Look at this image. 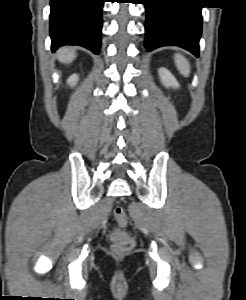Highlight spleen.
Returning a JSON list of instances; mask_svg holds the SVG:
<instances>
[{"label": "spleen", "mask_w": 246, "mask_h": 300, "mask_svg": "<svg viewBox=\"0 0 246 300\" xmlns=\"http://www.w3.org/2000/svg\"><path fill=\"white\" fill-rule=\"evenodd\" d=\"M174 59L180 73L187 77L190 73V64L188 59H186L182 54L179 53L175 54Z\"/></svg>", "instance_id": "spleen-1"}]
</instances>
